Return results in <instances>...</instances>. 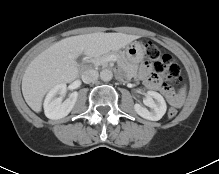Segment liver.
Here are the masks:
<instances>
[{"label":"liver","instance_id":"obj_1","mask_svg":"<svg viewBox=\"0 0 219 174\" xmlns=\"http://www.w3.org/2000/svg\"><path fill=\"white\" fill-rule=\"evenodd\" d=\"M139 36L124 33H91L72 36L53 44L28 65L22 78L26 103L40 112L45 94L59 84L74 81L79 70L76 59L84 54L97 57L124 48Z\"/></svg>","mask_w":219,"mask_h":174}]
</instances>
